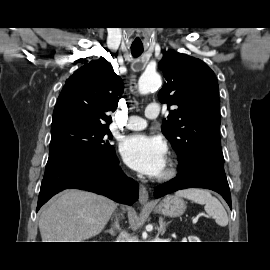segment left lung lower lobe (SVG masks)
<instances>
[{
	"label": "left lung lower lobe",
	"instance_id": "0a47b994",
	"mask_svg": "<svg viewBox=\"0 0 270 270\" xmlns=\"http://www.w3.org/2000/svg\"><path fill=\"white\" fill-rule=\"evenodd\" d=\"M179 163L177 177L159 185L154 192L155 198L180 189L207 188L218 192L231 208V195L224 171L223 155L196 152L189 160Z\"/></svg>",
	"mask_w": 270,
	"mask_h": 270
}]
</instances>
